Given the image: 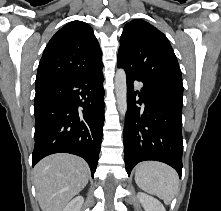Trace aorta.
<instances>
[{"label":"aorta","mask_w":221,"mask_h":211,"mask_svg":"<svg viewBox=\"0 0 221 211\" xmlns=\"http://www.w3.org/2000/svg\"><path fill=\"white\" fill-rule=\"evenodd\" d=\"M115 92L119 113L124 118L127 112V83L124 69H118L116 72Z\"/></svg>","instance_id":"obj_1"}]
</instances>
